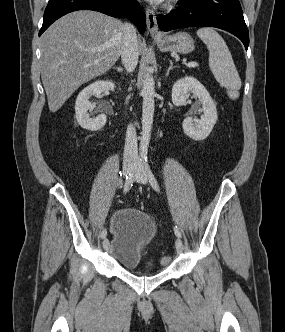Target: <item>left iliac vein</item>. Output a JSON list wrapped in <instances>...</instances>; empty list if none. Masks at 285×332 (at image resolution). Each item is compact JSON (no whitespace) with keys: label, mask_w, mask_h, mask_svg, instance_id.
Segmentation results:
<instances>
[{"label":"left iliac vein","mask_w":285,"mask_h":332,"mask_svg":"<svg viewBox=\"0 0 285 332\" xmlns=\"http://www.w3.org/2000/svg\"><path fill=\"white\" fill-rule=\"evenodd\" d=\"M135 180L141 184H146L148 182V176L141 164H138L135 168ZM175 247L178 253H181L184 250V245L181 239H176Z\"/></svg>","instance_id":"obj_1"}]
</instances>
